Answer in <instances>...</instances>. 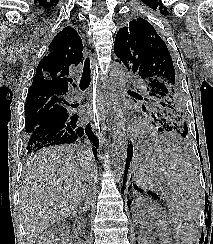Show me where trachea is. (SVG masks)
<instances>
[{
    "mask_svg": "<svg viewBox=\"0 0 213 244\" xmlns=\"http://www.w3.org/2000/svg\"><path fill=\"white\" fill-rule=\"evenodd\" d=\"M91 82V69H90V60L87 58L84 63L82 78L80 81V88L85 90Z\"/></svg>",
    "mask_w": 213,
    "mask_h": 244,
    "instance_id": "trachea-1",
    "label": "trachea"
}]
</instances>
